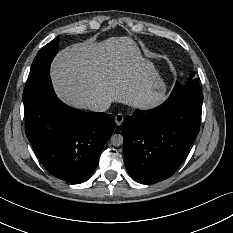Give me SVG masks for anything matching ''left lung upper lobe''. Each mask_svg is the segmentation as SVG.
I'll list each match as a JSON object with an SVG mask.
<instances>
[{"label": "left lung upper lobe", "instance_id": "left-lung-upper-lobe-1", "mask_svg": "<svg viewBox=\"0 0 233 233\" xmlns=\"http://www.w3.org/2000/svg\"><path fill=\"white\" fill-rule=\"evenodd\" d=\"M194 75L195 73L191 74L190 78H192ZM175 87L180 88V89H186V90L201 91L198 79L190 80L184 85L176 83Z\"/></svg>", "mask_w": 233, "mask_h": 233}]
</instances>
